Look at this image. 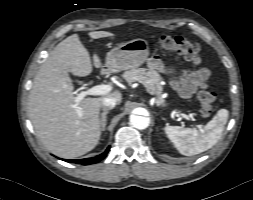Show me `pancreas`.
I'll use <instances>...</instances> for the list:
<instances>
[{
    "label": "pancreas",
    "instance_id": "pancreas-1",
    "mask_svg": "<svg viewBox=\"0 0 253 200\" xmlns=\"http://www.w3.org/2000/svg\"><path fill=\"white\" fill-rule=\"evenodd\" d=\"M123 78L128 83L136 81L142 83L150 94L157 96L156 104L164 105L165 100L161 97L163 87L160 84L162 78L155 70L146 68L132 69L125 71Z\"/></svg>",
    "mask_w": 253,
    "mask_h": 200
}]
</instances>
